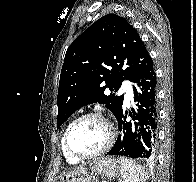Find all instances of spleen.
<instances>
[{"label":"spleen","mask_w":196,"mask_h":182,"mask_svg":"<svg viewBox=\"0 0 196 182\" xmlns=\"http://www.w3.org/2000/svg\"><path fill=\"white\" fill-rule=\"evenodd\" d=\"M118 163L123 182H145L146 174L143 168L133 160L120 157Z\"/></svg>","instance_id":"1"}]
</instances>
